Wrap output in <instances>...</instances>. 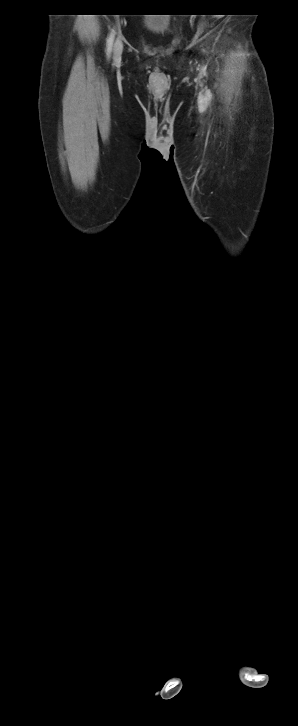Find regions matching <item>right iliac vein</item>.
<instances>
[{
    "instance_id": "1",
    "label": "right iliac vein",
    "mask_w": 298,
    "mask_h": 726,
    "mask_svg": "<svg viewBox=\"0 0 298 726\" xmlns=\"http://www.w3.org/2000/svg\"><path fill=\"white\" fill-rule=\"evenodd\" d=\"M122 53V42L118 39L114 45V59L118 60Z\"/></svg>"
}]
</instances>
